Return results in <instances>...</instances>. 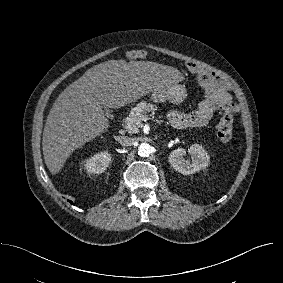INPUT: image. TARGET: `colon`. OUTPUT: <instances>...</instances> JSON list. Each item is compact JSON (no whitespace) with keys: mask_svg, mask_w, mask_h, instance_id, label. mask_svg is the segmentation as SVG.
I'll return each instance as SVG.
<instances>
[{"mask_svg":"<svg viewBox=\"0 0 283 283\" xmlns=\"http://www.w3.org/2000/svg\"><path fill=\"white\" fill-rule=\"evenodd\" d=\"M134 58H140L143 56L141 51H134L131 53ZM232 126H233V115L228 108H222L220 111V119L217 125L216 131L217 136L221 142L227 145H233L232 136Z\"/></svg>","mask_w":283,"mask_h":283,"instance_id":"colon-1","label":"colon"}]
</instances>
